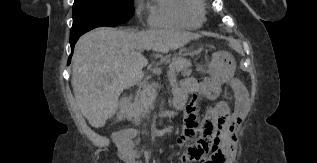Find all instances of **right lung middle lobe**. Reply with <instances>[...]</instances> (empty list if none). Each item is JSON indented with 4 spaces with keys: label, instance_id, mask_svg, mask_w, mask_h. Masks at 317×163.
<instances>
[{
    "label": "right lung middle lobe",
    "instance_id": "obj_1",
    "mask_svg": "<svg viewBox=\"0 0 317 163\" xmlns=\"http://www.w3.org/2000/svg\"><path fill=\"white\" fill-rule=\"evenodd\" d=\"M133 12V0H75L70 39L96 27L125 23Z\"/></svg>",
    "mask_w": 317,
    "mask_h": 163
}]
</instances>
